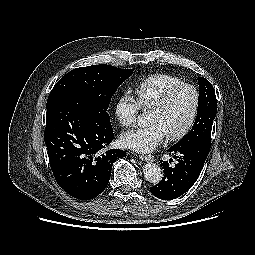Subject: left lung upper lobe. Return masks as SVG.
Listing matches in <instances>:
<instances>
[{
  "label": "left lung upper lobe",
  "instance_id": "5c2ea615",
  "mask_svg": "<svg viewBox=\"0 0 255 255\" xmlns=\"http://www.w3.org/2000/svg\"><path fill=\"white\" fill-rule=\"evenodd\" d=\"M199 98L197 117L192 130L172 147H181L199 141L211 142L213 120L217 112L215 91L211 83L198 77Z\"/></svg>",
  "mask_w": 255,
  "mask_h": 255
}]
</instances>
